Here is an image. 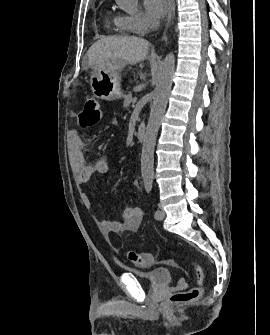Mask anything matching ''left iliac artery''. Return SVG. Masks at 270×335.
<instances>
[{
  "mask_svg": "<svg viewBox=\"0 0 270 335\" xmlns=\"http://www.w3.org/2000/svg\"><path fill=\"white\" fill-rule=\"evenodd\" d=\"M152 180L151 179H147L145 180V189L146 191L149 193L152 190ZM155 218H157L159 216V210H157L154 214Z\"/></svg>",
  "mask_w": 270,
  "mask_h": 335,
  "instance_id": "1",
  "label": "left iliac artery"
}]
</instances>
